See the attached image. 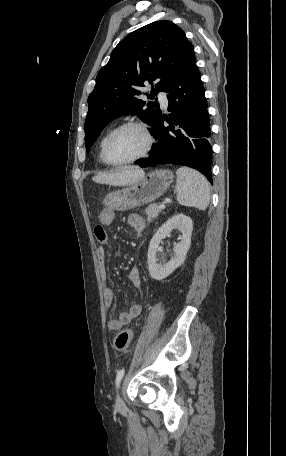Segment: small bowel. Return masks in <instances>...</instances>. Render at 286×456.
I'll list each match as a JSON object with an SVG mask.
<instances>
[{"mask_svg":"<svg viewBox=\"0 0 286 456\" xmlns=\"http://www.w3.org/2000/svg\"><path fill=\"white\" fill-rule=\"evenodd\" d=\"M101 225L95 228V235L99 243L97 249V256L100 264L102 280L104 283L103 298L106 306H111L114 300V292L108 285L107 268H106V252L108 245V236L104 226L110 225L114 220V211L110 208L104 209L100 214ZM128 224L134 229L137 235H141L145 230V221L138 214H130L127 217ZM129 280L136 286H141V275L138 268H134L129 273ZM142 312L141 304L132 305L129 310L121 312L117 318L111 319L108 322V329L116 331L121 329L124 325L130 323L133 319L138 317Z\"/></svg>","mask_w":286,"mask_h":456,"instance_id":"obj_1","label":"small bowel"}]
</instances>
